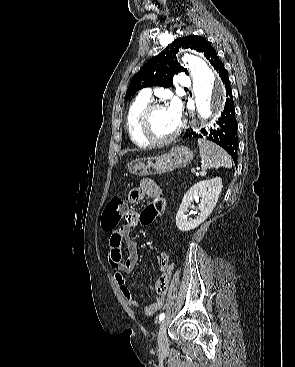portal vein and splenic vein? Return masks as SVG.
<instances>
[{"mask_svg":"<svg viewBox=\"0 0 295 367\" xmlns=\"http://www.w3.org/2000/svg\"><path fill=\"white\" fill-rule=\"evenodd\" d=\"M191 172H192V173H195V172H196L195 168H192V169H191Z\"/></svg>","mask_w":295,"mask_h":367,"instance_id":"1","label":"portal vein and splenic vein"}]
</instances>
